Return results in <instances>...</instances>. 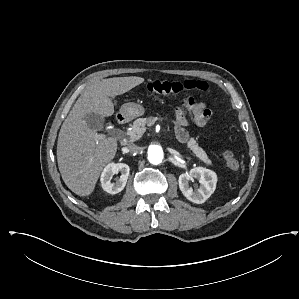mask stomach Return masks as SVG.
Wrapping results in <instances>:
<instances>
[{
    "mask_svg": "<svg viewBox=\"0 0 299 299\" xmlns=\"http://www.w3.org/2000/svg\"><path fill=\"white\" fill-rule=\"evenodd\" d=\"M144 112H145L144 107L134 102L125 103L121 107V114L126 119H134L136 117L142 116Z\"/></svg>",
    "mask_w": 299,
    "mask_h": 299,
    "instance_id": "1",
    "label": "stomach"
}]
</instances>
